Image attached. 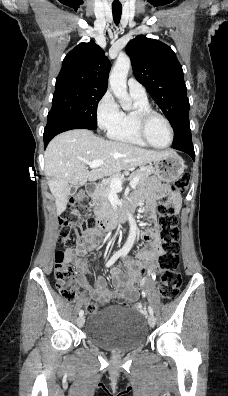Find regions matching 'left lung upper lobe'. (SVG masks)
<instances>
[{"mask_svg":"<svg viewBox=\"0 0 228 396\" xmlns=\"http://www.w3.org/2000/svg\"><path fill=\"white\" fill-rule=\"evenodd\" d=\"M126 52L136 79L146 87L175 131L189 112L183 70L175 53L166 44L142 35L127 44Z\"/></svg>","mask_w":228,"mask_h":396,"instance_id":"obj_1","label":"left lung upper lobe"}]
</instances>
